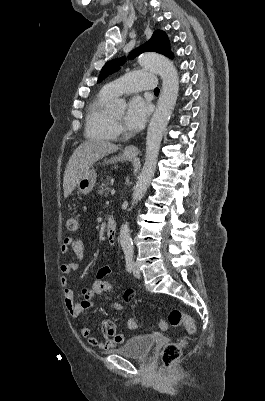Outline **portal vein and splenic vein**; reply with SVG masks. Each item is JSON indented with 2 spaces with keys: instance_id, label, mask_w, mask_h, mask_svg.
Here are the masks:
<instances>
[{
  "instance_id": "portal-vein-and-splenic-vein-1",
  "label": "portal vein and splenic vein",
  "mask_w": 265,
  "mask_h": 401,
  "mask_svg": "<svg viewBox=\"0 0 265 401\" xmlns=\"http://www.w3.org/2000/svg\"><path fill=\"white\" fill-rule=\"evenodd\" d=\"M111 192H112V196H115L116 189H115V188H112V189H111Z\"/></svg>"
}]
</instances>
